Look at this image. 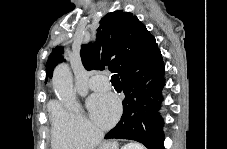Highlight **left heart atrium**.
I'll list each match as a JSON object with an SVG mask.
<instances>
[{"label": "left heart atrium", "instance_id": "left-heart-atrium-1", "mask_svg": "<svg viewBox=\"0 0 227 149\" xmlns=\"http://www.w3.org/2000/svg\"><path fill=\"white\" fill-rule=\"evenodd\" d=\"M88 108L94 122L102 128L112 126L120 115V102L113 94L92 95Z\"/></svg>", "mask_w": 227, "mask_h": 149}]
</instances>
